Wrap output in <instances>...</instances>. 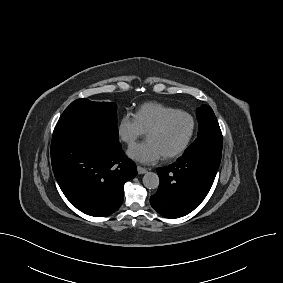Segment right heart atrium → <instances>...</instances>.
<instances>
[{
    "label": "right heart atrium",
    "mask_w": 283,
    "mask_h": 283,
    "mask_svg": "<svg viewBox=\"0 0 283 283\" xmlns=\"http://www.w3.org/2000/svg\"><path fill=\"white\" fill-rule=\"evenodd\" d=\"M117 132L121 141L129 146L145 134L136 115L130 112L123 114L119 119Z\"/></svg>",
    "instance_id": "obj_1"
}]
</instances>
